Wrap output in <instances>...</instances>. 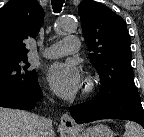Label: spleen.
Returning <instances> with one entry per match:
<instances>
[{
    "label": "spleen",
    "mask_w": 144,
    "mask_h": 137,
    "mask_svg": "<svg viewBox=\"0 0 144 137\" xmlns=\"http://www.w3.org/2000/svg\"><path fill=\"white\" fill-rule=\"evenodd\" d=\"M124 137H144V131L135 123L127 122Z\"/></svg>",
    "instance_id": "1"
}]
</instances>
